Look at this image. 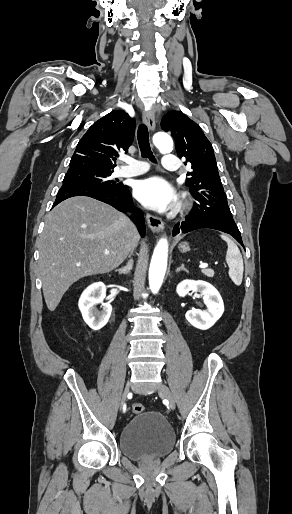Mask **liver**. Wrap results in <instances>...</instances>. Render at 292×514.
Returning <instances> with one entry per match:
<instances>
[{"label": "liver", "mask_w": 292, "mask_h": 514, "mask_svg": "<svg viewBox=\"0 0 292 514\" xmlns=\"http://www.w3.org/2000/svg\"><path fill=\"white\" fill-rule=\"evenodd\" d=\"M136 236L135 226L124 214L93 198L75 196L56 206L47 214L39 238V270L48 310L54 312L80 278L118 268Z\"/></svg>", "instance_id": "1"}]
</instances>
